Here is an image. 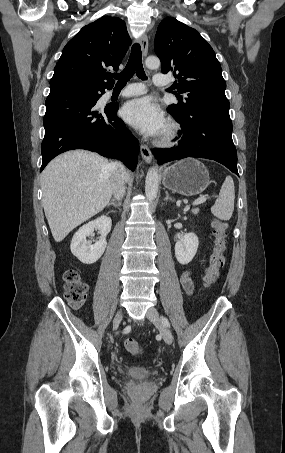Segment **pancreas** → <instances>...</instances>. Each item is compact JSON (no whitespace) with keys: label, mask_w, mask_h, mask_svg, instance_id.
Instances as JSON below:
<instances>
[{"label":"pancreas","mask_w":285,"mask_h":453,"mask_svg":"<svg viewBox=\"0 0 285 453\" xmlns=\"http://www.w3.org/2000/svg\"><path fill=\"white\" fill-rule=\"evenodd\" d=\"M191 211L195 215L199 213V209L198 208H193Z\"/></svg>","instance_id":"1"}]
</instances>
